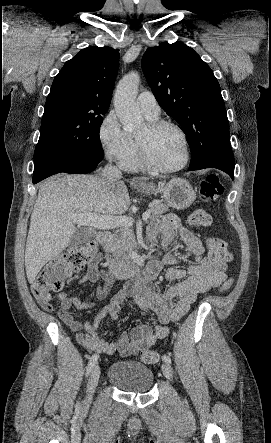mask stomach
Returning <instances> with one entry per match:
<instances>
[{
	"instance_id": "stomach-1",
	"label": "stomach",
	"mask_w": 271,
	"mask_h": 443,
	"mask_svg": "<svg viewBox=\"0 0 271 443\" xmlns=\"http://www.w3.org/2000/svg\"><path fill=\"white\" fill-rule=\"evenodd\" d=\"M141 184L142 186H136L139 192H143V194L162 192L164 202L175 210H186L197 198L191 184L186 180H181V178H174L168 184H160L158 188L153 184H146V182H141Z\"/></svg>"
}]
</instances>
